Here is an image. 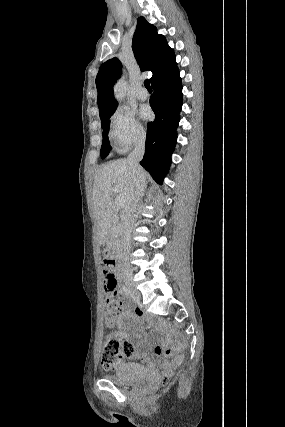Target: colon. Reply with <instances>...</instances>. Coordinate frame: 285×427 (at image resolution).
I'll return each mask as SVG.
<instances>
[{
	"mask_svg": "<svg viewBox=\"0 0 285 427\" xmlns=\"http://www.w3.org/2000/svg\"><path fill=\"white\" fill-rule=\"evenodd\" d=\"M101 268L104 273V285L107 292L105 299L106 307V325L108 328L118 327V314L122 307V299L117 292L118 280L114 274V262L109 257H104L101 261ZM137 313L141 314V310L137 309ZM133 352V346L127 339L120 338L116 333H109L105 339L101 351V364L106 369H113L118 362ZM155 354L170 357L172 351L163 347H156ZM168 377L162 380V386H167Z\"/></svg>",
	"mask_w": 285,
	"mask_h": 427,
	"instance_id": "colon-1",
	"label": "colon"
}]
</instances>
